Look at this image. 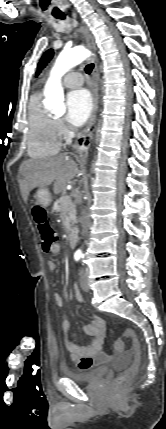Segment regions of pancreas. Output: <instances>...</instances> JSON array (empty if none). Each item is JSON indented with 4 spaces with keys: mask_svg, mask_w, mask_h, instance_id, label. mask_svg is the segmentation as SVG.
Listing matches in <instances>:
<instances>
[{
    "mask_svg": "<svg viewBox=\"0 0 166 429\" xmlns=\"http://www.w3.org/2000/svg\"><path fill=\"white\" fill-rule=\"evenodd\" d=\"M68 196H62L58 200L55 201L53 210L60 213L61 216L68 218L71 224L76 222V210L75 204L71 201L66 200Z\"/></svg>",
    "mask_w": 166,
    "mask_h": 429,
    "instance_id": "obj_1",
    "label": "pancreas"
}]
</instances>
